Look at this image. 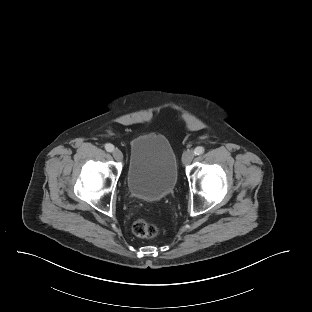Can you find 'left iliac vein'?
I'll use <instances>...</instances> for the list:
<instances>
[{
  "mask_svg": "<svg viewBox=\"0 0 312 312\" xmlns=\"http://www.w3.org/2000/svg\"><path fill=\"white\" fill-rule=\"evenodd\" d=\"M193 158H194V152L192 150H188L183 154L182 162L183 164L188 165L191 163Z\"/></svg>",
  "mask_w": 312,
  "mask_h": 312,
  "instance_id": "obj_1",
  "label": "left iliac vein"
}]
</instances>
